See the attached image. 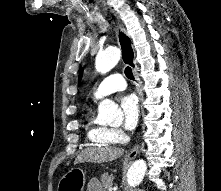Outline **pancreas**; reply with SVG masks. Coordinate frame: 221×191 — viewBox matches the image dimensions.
<instances>
[{"mask_svg":"<svg viewBox=\"0 0 221 191\" xmlns=\"http://www.w3.org/2000/svg\"><path fill=\"white\" fill-rule=\"evenodd\" d=\"M113 175H109L108 173H103L101 175V182L105 189H110L113 185Z\"/></svg>","mask_w":221,"mask_h":191,"instance_id":"1","label":"pancreas"}]
</instances>
